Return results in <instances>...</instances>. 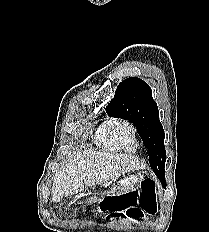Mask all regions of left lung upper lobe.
Returning <instances> with one entry per match:
<instances>
[{"instance_id": "5c2ea615", "label": "left lung upper lobe", "mask_w": 209, "mask_h": 232, "mask_svg": "<svg viewBox=\"0 0 209 232\" xmlns=\"http://www.w3.org/2000/svg\"><path fill=\"white\" fill-rule=\"evenodd\" d=\"M106 112L109 116L128 120L137 126L148 149L150 166L161 183H164L165 133L149 85L137 77L125 79L117 87L115 97L106 107Z\"/></svg>"}]
</instances>
